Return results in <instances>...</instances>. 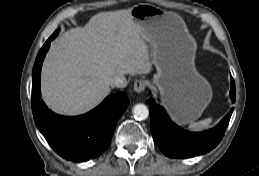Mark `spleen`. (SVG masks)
I'll use <instances>...</instances> for the list:
<instances>
[{
	"mask_svg": "<svg viewBox=\"0 0 259 176\" xmlns=\"http://www.w3.org/2000/svg\"><path fill=\"white\" fill-rule=\"evenodd\" d=\"M211 123H212V118H206L199 122H193L189 124L188 129L191 131H202L207 129Z\"/></svg>",
	"mask_w": 259,
	"mask_h": 176,
	"instance_id": "3e777b00",
	"label": "spleen"
}]
</instances>
